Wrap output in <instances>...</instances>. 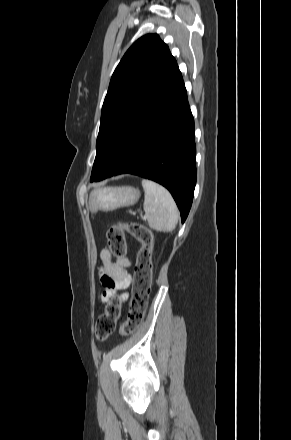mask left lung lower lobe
<instances>
[{
    "label": "left lung lower lobe",
    "instance_id": "obj_1",
    "mask_svg": "<svg viewBox=\"0 0 291 440\" xmlns=\"http://www.w3.org/2000/svg\"><path fill=\"white\" fill-rule=\"evenodd\" d=\"M195 157L194 120L178 69L90 181L125 173L156 181L170 191L184 222L196 184Z\"/></svg>",
    "mask_w": 291,
    "mask_h": 440
}]
</instances>
